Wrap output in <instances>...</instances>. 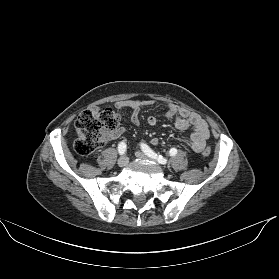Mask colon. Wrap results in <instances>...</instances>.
<instances>
[{
	"label": "colon",
	"instance_id": "5ec220e1",
	"mask_svg": "<svg viewBox=\"0 0 279 279\" xmlns=\"http://www.w3.org/2000/svg\"><path fill=\"white\" fill-rule=\"evenodd\" d=\"M119 125V114L113 109L86 110L81 112L75 122L74 149L82 157L91 155L99 148ZM210 148H204V156L210 154Z\"/></svg>",
	"mask_w": 279,
	"mask_h": 279
}]
</instances>
